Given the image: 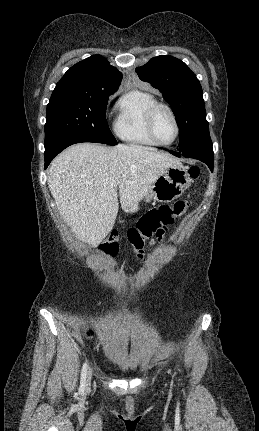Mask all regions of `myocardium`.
Returning a JSON list of instances; mask_svg holds the SVG:
<instances>
[{
	"label": "myocardium",
	"mask_w": 259,
	"mask_h": 431,
	"mask_svg": "<svg viewBox=\"0 0 259 431\" xmlns=\"http://www.w3.org/2000/svg\"><path fill=\"white\" fill-rule=\"evenodd\" d=\"M160 109H164L170 114V116L173 120L174 126H175V135H174L173 139L168 143H163V142L159 141L158 138L156 137V134L154 131L155 116H156V113L158 112V110H160ZM146 127H147V131H148L150 138L159 146H170V145H172L177 140V138L179 137V133H180L179 122H178V119H177V116H176L174 110L172 109L171 106H169L168 104L163 103V102H155L153 105H151L149 107V109L147 110V113H146Z\"/></svg>",
	"instance_id": "obj_1"
}]
</instances>
